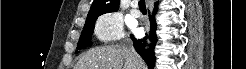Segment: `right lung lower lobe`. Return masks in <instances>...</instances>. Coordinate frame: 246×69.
Returning a JSON list of instances; mask_svg holds the SVG:
<instances>
[{
	"instance_id": "right-lung-lower-lobe-1",
	"label": "right lung lower lobe",
	"mask_w": 246,
	"mask_h": 69,
	"mask_svg": "<svg viewBox=\"0 0 246 69\" xmlns=\"http://www.w3.org/2000/svg\"><path fill=\"white\" fill-rule=\"evenodd\" d=\"M157 11V6L155 4V8L153 10L152 16H150V34L149 39L151 43L149 44V47L147 49L144 48V44L146 42V38L143 39H136L133 35H131V38L133 40L134 48L138 52V54L144 59V61L147 63L149 69H153L155 66V57H154V48L157 42L156 39V23L154 16Z\"/></svg>"
}]
</instances>
